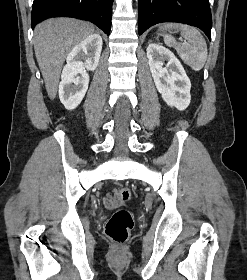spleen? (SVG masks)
<instances>
[{"mask_svg":"<svg viewBox=\"0 0 247 280\" xmlns=\"http://www.w3.org/2000/svg\"><path fill=\"white\" fill-rule=\"evenodd\" d=\"M163 29H177L187 42L178 43L171 35H164V42L169 47H174L183 62L194 71L201 70L207 60V45L204 37L194 27L179 23H168Z\"/></svg>","mask_w":247,"mask_h":280,"instance_id":"3e777b00","label":"spleen"}]
</instances>
